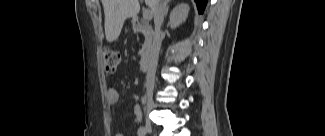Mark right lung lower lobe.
<instances>
[{"instance_id":"right-lung-lower-lobe-1","label":"right lung lower lobe","mask_w":325,"mask_h":136,"mask_svg":"<svg viewBox=\"0 0 325 136\" xmlns=\"http://www.w3.org/2000/svg\"><path fill=\"white\" fill-rule=\"evenodd\" d=\"M198 8V12L202 14L207 4V0H195Z\"/></svg>"}]
</instances>
